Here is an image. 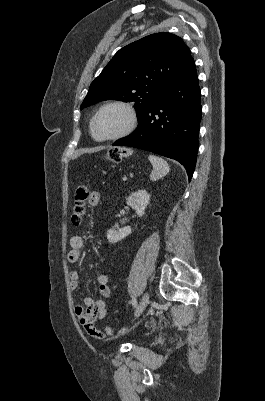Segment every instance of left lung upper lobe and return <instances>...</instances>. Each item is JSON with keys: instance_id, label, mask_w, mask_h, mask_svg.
<instances>
[{"instance_id": "1", "label": "left lung upper lobe", "mask_w": 265, "mask_h": 401, "mask_svg": "<svg viewBox=\"0 0 265 401\" xmlns=\"http://www.w3.org/2000/svg\"><path fill=\"white\" fill-rule=\"evenodd\" d=\"M192 58L171 33L148 35L120 49L91 83L81 109L103 100L134 102L138 119Z\"/></svg>"}]
</instances>
